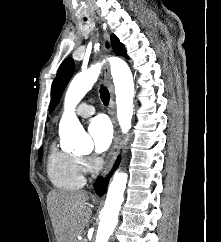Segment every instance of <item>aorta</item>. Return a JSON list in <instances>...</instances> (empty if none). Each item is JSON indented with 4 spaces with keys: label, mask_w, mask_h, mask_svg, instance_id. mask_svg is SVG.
Segmentation results:
<instances>
[{
    "label": "aorta",
    "mask_w": 221,
    "mask_h": 242,
    "mask_svg": "<svg viewBox=\"0 0 221 242\" xmlns=\"http://www.w3.org/2000/svg\"><path fill=\"white\" fill-rule=\"evenodd\" d=\"M111 75L116 94L117 117L123 133L131 128L133 115L134 82L127 63L120 58H109ZM103 63L92 65L89 69L77 74L71 81L65 95L64 114L60 122V135L67 143L69 150L86 152L93 147L90 136L84 131L75 115V108L86 93L97 81ZM127 174L116 171L109 185L106 201L101 211L95 242H108L117 223L124 191L127 184Z\"/></svg>",
    "instance_id": "762f6f07"
}]
</instances>
